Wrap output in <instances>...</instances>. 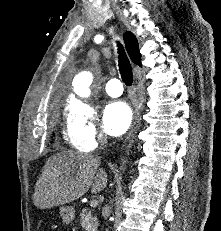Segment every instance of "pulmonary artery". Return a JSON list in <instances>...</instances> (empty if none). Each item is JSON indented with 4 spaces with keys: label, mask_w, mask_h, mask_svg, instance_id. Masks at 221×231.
Segmentation results:
<instances>
[{
    "label": "pulmonary artery",
    "mask_w": 221,
    "mask_h": 231,
    "mask_svg": "<svg viewBox=\"0 0 221 231\" xmlns=\"http://www.w3.org/2000/svg\"><path fill=\"white\" fill-rule=\"evenodd\" d=\"M105 91L111 97H119L123 93L122 83L118 79H111L106 83Z\"/></svg>",
    "instance_id": "1"
}]
</instances>
